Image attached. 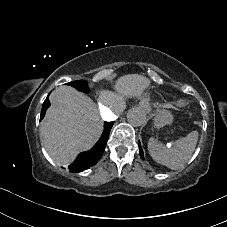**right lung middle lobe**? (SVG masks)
I'll return each instance as SVG.
<instances>
[{
  "label": "right lung middle lobe",
  "instance_id": "dd1d6c3e",
  "mask_svg": "<svg viewBox=\"0 0 227 227\" xmlns=\"http://www.w3.org/2000/svg\"><path fill=\"white\" fill-rule=\"evenodd\" d=\"M67 85H70V86L74 87L75 89H77L78 91H81V92L89 93V91H90V89L87 85V81H85V80H78V81L69 82V83H67ZM47 107H49V102L46 99L43 103L42 109H46Z\"/></svg>",
  "mask_w": 227,
  "mask_h": 227
}]
</instances>
